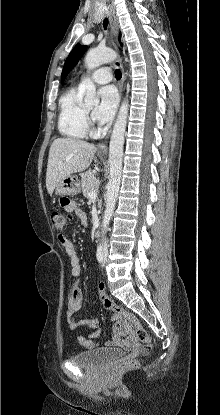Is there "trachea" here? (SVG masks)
<instances>
[{"mask_svg":"<svg viewBox=\"0 0 220 415\" xmlns=\"http://www.w3.org/2000/svg\"><path fill=\"white\" fill-rule=\"evenodd\" d=\"M107 25H108V20H107V19H105V20H104V23H103V27H104V29H106V28H107ZM115 77H116V79H117V80H119V79L122 77L121 71H120L119 69H116V70H115Z\"/></svg>","mask_w":220,"mask_h":415,"instance_id":"1","label":"trachea"}]
</instances>
